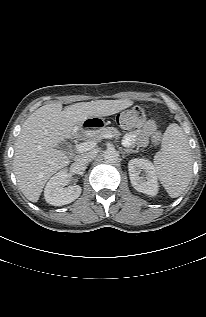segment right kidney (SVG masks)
<instances>
[{
    "instance_id": "right-kidney-1",
    "label": "right kidney",
    "mask_w": 206,
    "mask_h": 317,
    "mask_svg": "<svg viewBox=\"0 0 206 317\" xmlns=\"http://www.w3.org/2000/svg\"><path fill=\"white\" fill-rule=\"evenodd\" d=\"M70 178V174L66 171H60L55 174L47 183L44 190V198L47 203L54 206H62L75 201L81 194V187L72 185L63 187Z\"/></svg>"
}]
</instances>
